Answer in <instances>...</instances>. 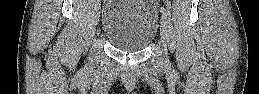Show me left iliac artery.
Listing matches in <instances>:
<instances>
[{"label": "left iliac artery", "mask_w": 259, "mask_h": 94, "mask_svg": "<svg viewBox=\"0 0 259 94\" xmlns=\"http://www.w3.org/2000/svg\"><path fill=\"white\" fill-rule=\"evenodd\" d=\"M160 12L164 16H168V14H169L168 11L164 7H160Z\"/></svg>", "instance_id": "left-iliac-artery-1"}]
</instances>
